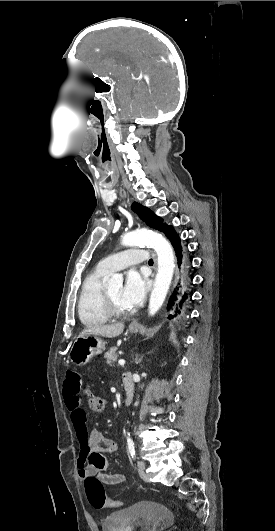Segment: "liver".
I'll return each mask as SVG.
<instances>
[{"label": "liver", "mask_w": 275, "mask_h": 531, "mask_svg": "<svg viewBox=\"0 0 275 531\" xmlns=\"http://www.w3.org/2000/svg\"><path fill=\"white\" fill-rule=\"evenodd\" d=\"M124 325L123 323H114V325H94V327H89V329H84L80 333L79 337H84V335H100V337H108V339H113V337H118L123 333Z\"/></svg>", "instance_id": "liver-1"}]
</instances>
